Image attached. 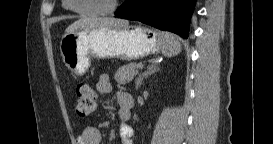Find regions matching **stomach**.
Returning a JSON list of instances; mask_svg holds the SVG:
<instances>
[{
	"instance_id": "obj_1",
	"label": "stomach",
	"mask_w": 273,
	"mask_h": 144,
	"mask_svg": "<svg viewBox=\"0 0 273 144\" xmlns=\"http://www.w3.org/2000/svg\"><path fill=\"white\" fill-rule=\"evenodd\" d=\"M159 34L142 27H98L66 34L60 51L66 67L75 75L87 72L92 58L134 60L159 53Z\"/></svg>"
}]
</instances>
